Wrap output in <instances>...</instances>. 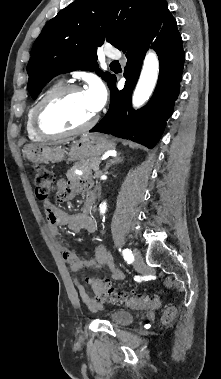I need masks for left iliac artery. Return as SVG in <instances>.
<instances>
[{
	"instance_id": "1",
	"label": "left iliac artery",
	"mask_w": 221,
	"mask_h": 379,
	"mask_svg": "<svg viewBox=\"0 0 221 379\" xmlns=\"http://www.w3.org/2000/svg\"><path fill=\"white\" fill-rule=\"evenodd\" d=\"M122 255L125 259V261H127V263H132L134 261V256L132 254V251L129 250V249H124L122 251Z\"/></svg>"
}]
</instances>
